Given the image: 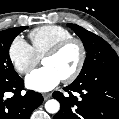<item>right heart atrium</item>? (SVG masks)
<instances>
[{
    "instance_id": "right-heart-atrium-1",
    "label": "right heart atrium",
    "mask_w": 119,
    "mask_h": 119,
    "mask_svg": "<svg viewBox=\"0 0 119 119\" xmlns=\"http://www.w3.org/2000/svg\"><path fill=\"white\" fill-rule=\"evenodd\" d=\"M8 55L14 69L21 75L30 73L40 61L32 46L21 36L13 39Z\"/></svg>"
}]
</instances>
